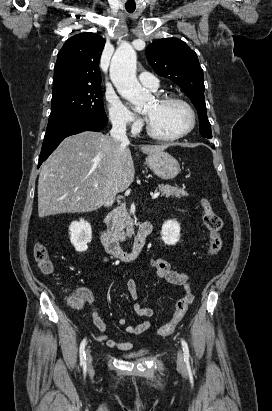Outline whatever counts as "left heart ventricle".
<instances>
[{
	"instance_id": "1",
	"label": "left heart ventricle",
	"mask_w": 272,
	"mask_h": 411,
	"mask_svg": "<svg viewBox=\"0 0 272 411\" xmlns=\"http://www.w3.org/2000/svg\"><path fill=\"white\" fill-rule=\"evenodd\" d=\"M144 113L152 128L166 136L183 132L190 124V114L180 103H159L155 99L144 108Z\"/></svg>"
}]
</instances>
